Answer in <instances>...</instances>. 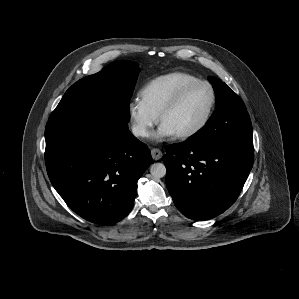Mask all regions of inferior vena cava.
<instances>
[{
    "instance_id": "inferior-vena-cava-1",
    "label": "inferior vena cava",
    "mask_w": 299,
    "mask_h": 299,
    "mask_svg": "<svg viewBox=\"0 0 299 299\" xmlns=\"http://www.w3.org/2000/svg\"><path fill=\"white\" fill-rule=\"evenodd\" d=\"M132 133L136 137H138V136H142V137L148 136V131L146 130V128L143 127V126H140V125L133 126Z\"/></svg>"
}]
</instances>
